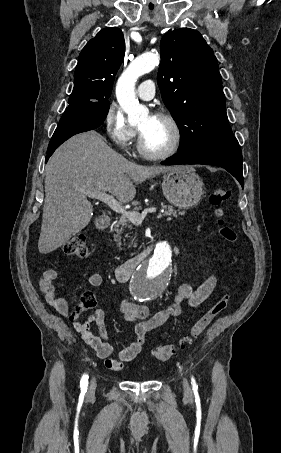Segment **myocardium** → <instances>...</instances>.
I'll return each instance as SVG.
<instances>
[{
  "mask_svg": "<svg viewBox=\"0 0 281 453\" xmlns=\"http://www.w3.org/2000/svg\"><path fill=\"white\" fill-rule=\"evenodd\" d=\"M154 118L163 121L170 127V129L172 131V135H173V140H172L170 147L166 151L160 152V153L149 151L145 147L144 139H143V135H142L141 131L138 130L139 135H138L137 149H138L139 154L141 156H143L144 158H147L150 160H164V159H167V158L173 156L176 153V151L178 150V147L180 145L181 138H182L181 130H180L178 124L176 123V121L172 117H170L166 114L159 113V114H156L154 116Z\"/></svg>",
  "mask_w": 281,
  "mask_h": 453,
  "instance_id": "f54148a6",
  "label": "myocardium"
}]
</instances>
